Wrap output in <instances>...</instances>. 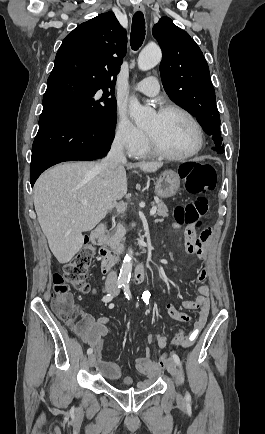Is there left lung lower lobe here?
Listing matches in <instances>:
<instances>
[{
    "label": "left lung lower lobe",
    "instance_id": "obj_1",
    "mask_svg": "<svg viewBox=\"0 0 265 434\" xmlns=\"http://www.w3.org/2000/svg\"><path fill=\"white\" fill-rule=\"evenodd\" d=\"M215 151H217V153L221 154L224 152V149H215Z\"/></svg>",
    "mask_w": 265,
    "mask_h": 434
}]
</instances>
